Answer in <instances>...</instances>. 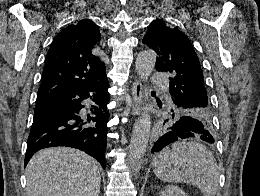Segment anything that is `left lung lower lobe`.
Wrapping results in <instances>:
<instances>
[{
    "label": "left lung lower lobe",
    "instance_id": "0a47b994",
    "mask_svg": "<svg viewBox=\"0 0 260 196\" xmlns=\"http://www.w3.org/2000/svg\"><path fill=\"white\" fill-rule=\"evenodd\" d=\"M197 135H200V138L206 142L214 143L212 133L206 128L203 122L190 118L180 119L154 143L151 152H158L179 139L195 137Z\"/></svg>",
    "mask_w": 260,
    "mask_h": 196
}]
</instances>
